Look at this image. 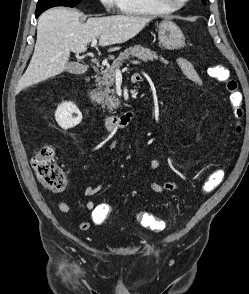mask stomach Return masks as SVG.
<instances>
[{
    "instance_id": "obj_1",
    "label": "stomach",
    "mask_w": 249,
    "mask_h": 294,
    "mask_svg": "<svg viewBox=\"0 0 249 294\" xmlns=\"http://www.w3.org/2000/svg\"><path fill=\"white\" fill-rule=\"evenodd\" d=\"M158 39L160 44L169 50L184 47L185 37L180 28L169 20H164L158 27Z\"/></svg>"
}]
</instances>
